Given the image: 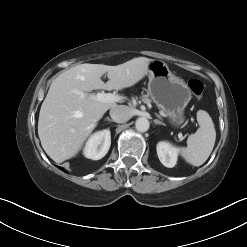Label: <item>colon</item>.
I'll return each mask as SVG.
<instances>
[{
	"label": "colon",
	"mask_w": 247,
	"mask_h": 247,
	"mask_svg": "<svg viewBox=\"0 0 247 247\" xmlns=\"http://www.w3.org/2000/svg\"><path fill=\"white\" fill-rule=\"evenodd\" d=\"M189 89L191 92L198 98L202 96L203 93V84L197 79H191L188 82Z\"/></svg>",
	"instance_id": "colon-1"
}]
</instances>
